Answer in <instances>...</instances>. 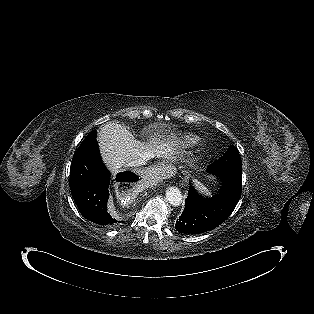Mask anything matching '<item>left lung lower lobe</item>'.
Returning a JSON list of instances; mask_svg holds the SVG:
<instances>
[{
    "label": "left lung lower lobe",
    "instance_id": "1",
    "mask_svg": "<svg viewBox=\"0 0 314 314\" xmlns=\"http://www.w3.org/2000/svg\"><path fill=\"white\" fill-rule=\"evenodd\" d=\"M221 181V189L216 196L204 198L190 184L185 208L175 224L178 232L195 234L211 231L223 223L235 209L242 192V170H213Z\"/></svg>",
    "mask_w": 314,
    "mask_h": 314
}]
</instances>
